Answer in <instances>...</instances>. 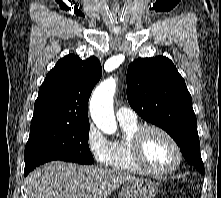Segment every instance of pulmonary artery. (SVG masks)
<instances>
[{
    "label": "pulmonary artery",
    "instance_id": "e3ab8cb5",
    "mask_svg": "<svg viewBox=\"0 0 221 198\" xmlns=\"http://www.w3.org/2000/svg\"><path fill=\"white\" fill-rule=\"evenodd\" d=\"M116 117L120 123L137 121V115L135 111L125 106H122L117 110Z\"/></svg>",
    "mask_w": 221,
    "mask_h": 198
}]
</instances>
